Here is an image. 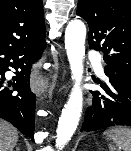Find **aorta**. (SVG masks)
I'll list each match as a JSON object with an SVG mask.
<instances>
[{"instance_id": "obj_1", "label": "aorta", "mask_w": 131, "mask_h": 151, "mask_svg": "<svg viewBox=\"0 0 131 151\" xmlns=\"http://www.w3.org/2000/svg\"><path fill=\"white\" fill-rule=\"evenodd\" d=\"M86 27L80 20L69 22L65 31V48L69 60L74 86L58 121L55 146L62 150L73 136L82 113L83 92L80 87L83 78Z\"/></svg>"}]
</instances>
